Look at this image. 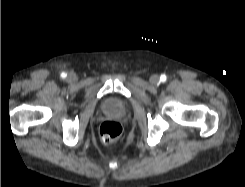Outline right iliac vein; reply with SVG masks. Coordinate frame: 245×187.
I'll list each match as a JSON object with an SVG mask.
<instances>
[{"instance_id":"1","label":"right iliac vein","mask_w":245,"mask_h":187,"mask_svg":"<svg viewBox=\"0 0 245 187\" xmlns=\"http://www.w3.org/2000/svg\"><path fill=\"white\" fill-rule=\"evenodd\" d=\"M75 79H76L75 74H73V73L69 74V76H68L69 81H74Z\"/></svg>"}]
</instances>
